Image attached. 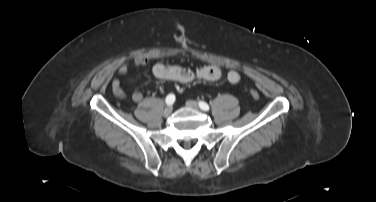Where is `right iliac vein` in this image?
<instances>
[{
    "label": "right iliac vein",
    "instance_id": "63e3f726",
    "mask_svg": "<svg viewBox=\"0 0 376 202\" xmlns=\"http://www.w3.org/2000/svg\"><path fill=\"white\" fill-rule=\"evenodd\" d=\"M172 111H173V107H172V106H167V107L164 109V111H163V115H164L165 117H168V116L171 115Z\"/></svg>",
    "mask_w": 376,
    "mask_h": 202
}]
</instances>
